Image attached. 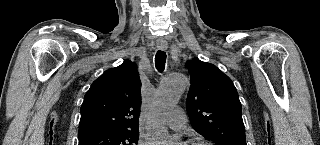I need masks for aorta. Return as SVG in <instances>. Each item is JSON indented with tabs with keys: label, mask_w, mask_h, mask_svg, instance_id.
Here are the masks:
<instances>
[{
	"label": "aorta",
	"mask_w": 320,
	"mask_h": 145,
	"mask_svg": "<svg viewBox=\"0 0 320 145\" xmlns=\"http://www.w3.org/2000/svg\"><path fill=\"white\" fill-rule=\"evenodd\" d=\"M187 84V77L178 73L165 77L158 88L147 122V133L153 145H173L164 120L177 105Z\"/></svg>",
	"instance_id": "obj_1"
}]
</instances>
